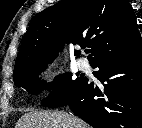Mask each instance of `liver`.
<instances>
[{"instance_id":"obj_1","label":"liver","mask_w":142,"mask_h":128,"mask_svg":"<svg viewBox=\"0 0 142 128\" xmlns=\"http://www.w3.org/2000/svg\"><path fill=\"white\" fill-rule=\"evenodd\" d=\"M16 128H90L82 119L62 111H32L24 114Z\"/></svg>"}]
</instances>
